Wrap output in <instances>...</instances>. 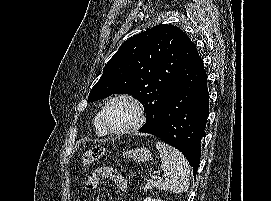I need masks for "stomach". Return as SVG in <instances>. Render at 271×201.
Masks as SVG:
<instances>
[{"label":"stomach","instance_id":"stomach-1","mask_svg":"<svg viewBox=\"0 0 271 201\" xmlns=\"http://www.w3.org/2000/svg\"><path fill=\"white\" fill-rule=\"evenodd\" d=\"M123 157L132 159L135 162H148L152 159V154L149 149L145 147L135 148L126 152H123Z\"/></svg>","mask_w":271,"mask_h":201}]
</instances>
